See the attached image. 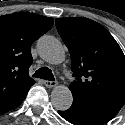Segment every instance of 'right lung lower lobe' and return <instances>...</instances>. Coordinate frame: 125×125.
Wrapping results in <instances>:
<instances>
[{
  "label": "right lung lower lobe",
  "mask_w": 125,
  "mask_h": 125,
  "mask_svg": "<svg viewBox=\"0 0 125 125\" xmlns=\"http://www.w3.org/2000/svg\"><path fill=\"white\" fill-rule=\"evenodd\" d=\"M27 92L28 90L21 94H12L10 96L0 99V114L11 111L21 105L27 95Z\"/></svg>",
  "instance_id": "98d812e1"
}]
</instances>
